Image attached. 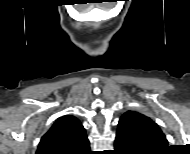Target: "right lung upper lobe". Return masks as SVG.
<instances>
[{"label":"right lung upper lobe","mask_w":190,"mask_h":154,"mask_svg":"<svg viewBox=\"0 0 190 154\" xmlns=\"http://www.w3.org/2000/svg\"><path fill=\"white\" fill-rule=\"evenodd\" d=\"M89 141L81 122L74 116L58 118L41 138L36 154H88Z\"/></svg>","instance_id":"cb5924a9"}]
</instances>
